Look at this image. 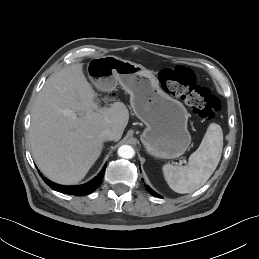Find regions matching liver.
<instances>
[{"label":"liver","instance_id":"liver-1","mask_svg":"<svg viewBox=\"0 0 259 259\" xmlns=\"http://www.w3.org/2000/svg\"><path fill=\"white\" fill-rule=\"evenodd\" d=\"M94 97L81 63L52 74L37 96L29 130L31 150L40 171L56 183L80 182L101 155L102 131L114 130L118 141L128 124L122 102L98 108Z\"/></svg>","mask_w":259,"mask_h":259}]
</instances>
